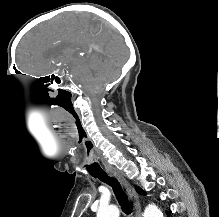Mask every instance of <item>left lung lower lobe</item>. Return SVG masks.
<instances>
[{
  "instance_id": "left-lung-lower-lobe-1",
  "label": "left lung lower lobe",
  "mask_w": 219,
  "mask_h": 217,
  "mask_svg": "<svg viewBox=\"0 0 219 217\" xmlns=\"http://www.w3.org/2000/svg\"><path fill=\"white\" fill-rule=\"evenodd\" d=\"M167 216H169L171 214V211H166Z\"/></svg>"
}]
</instances>
